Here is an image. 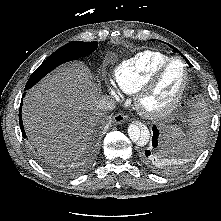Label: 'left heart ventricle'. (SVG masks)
<instances>
[{
  "label": "left heart ventricle",
  "mask_w": 221,
  "mask_h": 221,
  "mask_svg": "<svg viewBox=\"0 0 221 221\" xmlns=\"http://www.w3.org/2000/svg\"><path fill=\"white\" fill-rule=\"evenodd\" d=\"M183 79L182 63L174 62L167 69L154 92L145 100V107L155 109L168 104L180 90Z\"/></svg>",
  "instance_id": "1"
}]
</instances>
